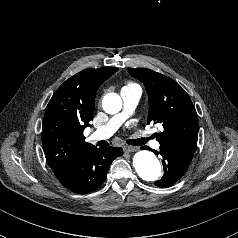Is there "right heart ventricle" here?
<instances>
[{
  "label": "right heart ventricle",
  "mask_w": 238,
  "mask_h": 238,
  "mask_svg": "<svg viewBox=\"0 0 238 238\" xmlns=\"http://www.w3.org/2000/svg\"><path fill=\"white\" fill-rule=\"evenodd\" d=\"M123 88H137V89H138L137 85L132 84V83L127 84V85L124 86Z\"/></svg>",
  "instance_id": "right-heart-ventricle-1"
}]
</instances>
